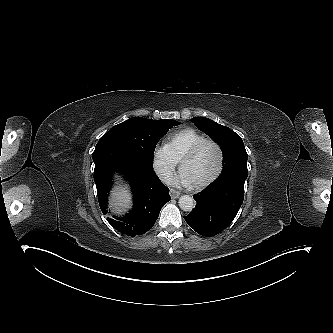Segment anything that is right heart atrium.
<instances>
[{"mask_svg":"<svg viewBox=\"0 0 333 333\" xmlns=\"http://www.w3.org/2000/svg\"><path fill=\"white\" fill-rule=\"evenodd\" d=\"M178 161L172 155L168 147L158 146L152 156V166L161 179L167 180L173 174Z\"/></svg>","mask_w":333,"mask_h":333,"instance_id":"1","label":"right heart atrium"}]
</instances>
